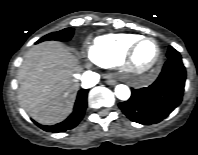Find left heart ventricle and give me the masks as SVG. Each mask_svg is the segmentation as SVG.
<instances>
[{
    "mask_svg": "<svg viewBox=\"0 0 198 155\" xmlns=\"http://www.w3.org/2000/svg\"><path fill=\"white\" fill-rule=\"evenodd\" d=\"M156 54V45L152 41H145L136 51L135 62L139 67H147L154 61Z\"/></svg>",
    "mask_w": 198,
    "mask_h": 155,
    "instance_id": "b2bd125f",
    "label": "left heart ventricle"
}]
</instances>
